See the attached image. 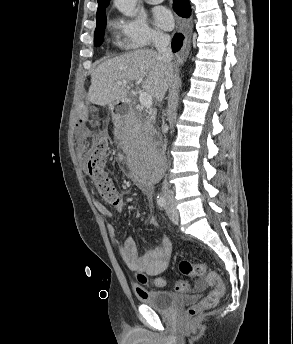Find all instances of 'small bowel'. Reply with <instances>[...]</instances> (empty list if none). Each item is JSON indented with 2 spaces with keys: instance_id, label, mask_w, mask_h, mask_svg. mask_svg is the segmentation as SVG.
I'll return each mask as SVG.
<instances>
[{
  "instance_id": "1",
  "label": "small bowel",
  "mask_w": 293,
  "mask_h": 344,
  "mask_svg": "<svg viewBox=\"0 0 293 344\" xmlns=\"http://www.w3.org/2000/svg\"><path fill=\"white\" fill-rule=\"evenodd\" d=\"M102 136V134H100ZM90 141V136L86 134L77 135V144L80 150L86 149ZM97 210L105 215L111 216V211L102 203H96ZM117 210L121 211L124 208V200L120 198L119 203L116 206ZM149 223L153 226L157 225V220L151 218ZM110 237L115 241V245L120 257L124 260L130 269L145 272L150 276H158L164 272L172 255V243L166 236H162L160 244L154 249L150 250L144 255H139L138 246L133 238H128L123 244L116 241L117 229L113 224L107 226ZM178 289L182 292H187L189 287L186 283H182ZM135 294L142 298L145 295V289L142 287H135Z\"/></svg>"
}]
</instances>
